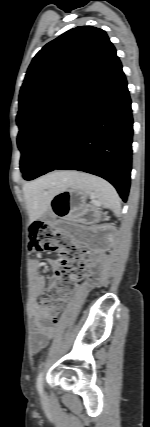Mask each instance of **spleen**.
Instances as JSON below:
<instances>
[{
  "label": "spleen",
  "instance_id": "1",
  "mask_svg": "<svg viewBox=\"0 0 150 427\" xmlns=\"http://www.w3.org/2000/svg\"><path fill=\"white\" fill-rule=\"evenodd\" d=\"M71 185L83 190L96 205L111 209L116 216H119L120 198L115 188L107 181L90 174L77 173Z\"/></svg>",
  "mask_w": 150,
  "mask_h": 427
}]
</instances>
